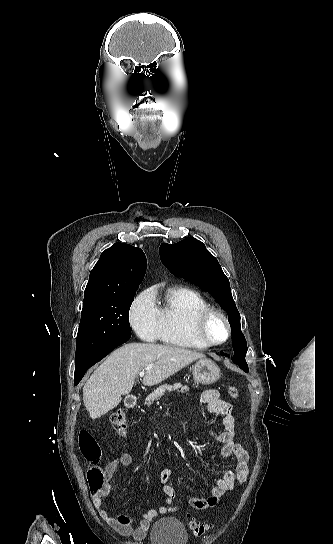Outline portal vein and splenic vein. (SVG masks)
Here are the masks:
<instances>
[{
  "instance_id": "1",
  "label": "portal vein and splenic vein",
  "mask_w": 333,
  "mask_h": 544,
  "mask_svg": "<svg viewBox=\"0 0 333 544\" xmlns=\"http://www.w3.org/2000/svg\"><path fill=\"white\" fill-rule=\"evenodd\" d=\"M144 374H145V370H142V371L139 373V376H140V377H143Z\"/></svg>"
}]
</instances>
